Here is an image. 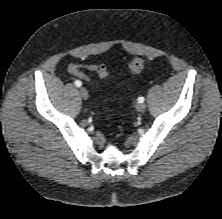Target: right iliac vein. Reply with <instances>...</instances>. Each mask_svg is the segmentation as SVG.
<instances>
[{
  "label": "right iliac vein",
  "mask_w": 222,
  "mask_h": 219,
  "mask_svg": "<svg viewBox=\"0 0 222 219\" xmlns=\"http://www.w3.org/2000/svg\"><path fill=\"white\" fill-rule=\"evenodd\" d=\"M79 91L83 99L85 100L88 99L89 94H88V91L84 87H81Z\"/></svg>",
  "instance_id": "1"
}]
</instances>
